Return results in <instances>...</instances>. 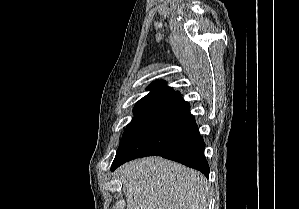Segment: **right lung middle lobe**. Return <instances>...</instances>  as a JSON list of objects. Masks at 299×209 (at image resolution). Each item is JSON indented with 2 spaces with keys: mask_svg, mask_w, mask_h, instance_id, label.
Instances as JSON below:
<instances>
[{
  "mask_svg": "<svg viewBox=\"0 0 299 209\" xmlns=\"http://www.w3.org/2000/svg\"><path fill=\"white\" fill-rule=\"evenodd\" d=\"M158 105L154 104H136L134 107V118L127 126L122 136L117 154L126 145V143L134 136V134L142 127V125L151 116ZM116 154V155H117Z\"/></svg>",
  "mask_w": 299,
  "mask_h": 209,
  "instance_id": "right-lung-middle-lobe-1",
  "label": "right lung middle lobe"
}]
</instances>
